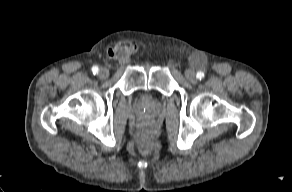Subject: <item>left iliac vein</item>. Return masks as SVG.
Wrapping results in <instances>:
<instances>
[{
  "instance_id": "left-iliac-vein-1",
  "label": "left iliac vein",
  "mask_w": 292,
  "mask_h": 192,
  "mask_svg": "<svg viewBox=\"0 0 292 192\" xmlns=\"http://www.w3.org/2000/svg\"><path fill=\"white\" fill-rule=\"evenodd\" d=\"M185 76L187 78L188 81H190L191 83H196L197 81V77L196 74L193 70L189 69L185 72Z\"/></svg>"
}]
</instances>
